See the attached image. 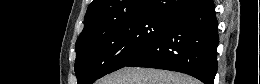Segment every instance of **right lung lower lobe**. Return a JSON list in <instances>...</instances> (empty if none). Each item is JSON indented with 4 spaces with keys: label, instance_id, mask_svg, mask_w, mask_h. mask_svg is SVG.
I'll return each instance as SVG.
<instances>
[{
    "label": "right lung lower lobe",
    "instance_id": "right-lung-lower-lobe-1",
    "mask_svg": "<svg viewBox=\"0 0 260 84\" xmlns=\"http://www.w3.org/2000/svg\"><path fill=\"white\" fill-rule=\"evenodd\" d=\"M218 43L214 2L197 0L173 15L147 50L126 66L182 72L213 84Z\"/></svg>",
    "mask_w": 260,
    "mask_h": 84
}]
</instances>
